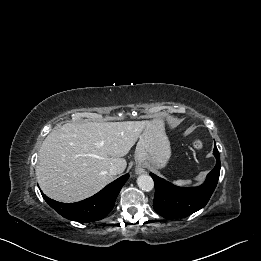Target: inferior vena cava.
Returning a JSON list of instances; mask_svg holds the SVG:
<instances>
[{
  "label": "inferior vena cava",
  "instance_id": "602c4592",
  "mask_svg": "<svg viewBox=\"0 0 261 261\" xmlns=\"http://www.w3.org/2000/svg\"><path fill=\"white\" fill-rule=\"evenodd\" d=\"M120 172H121V170H120V168L117 167V166H112V167H110V169H109V173H110L111 175H117V174H119Z\"/></svg>",
  "mask_w": 261,
  "mask_h": 261
}]
</instances>
